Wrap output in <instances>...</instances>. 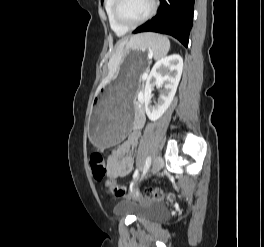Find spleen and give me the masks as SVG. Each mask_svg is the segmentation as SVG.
<instances>
[{
    "instance_id": "1",
    "label": "spleen",
    "mask_w": 264,
    "mask_h": 247,
    "mask_svg": "<svg viewBox=\"0 0 264 247\" xmlns=\"http://www.w3.org/2000/svg\"><path fill=\"white\" fill-rule=\"evenodd\" d=\"M137 44V48L141 50L148 49L155 59L165 56L170 49L169 39L155 33L144 34V37L137 40Z\"/></svg>"
}]
</instances>
